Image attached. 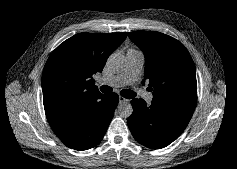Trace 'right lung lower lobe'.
<instances>
[{
	"label": "right lung lower lobe",
	"instance_id": "1",
	"mask_svg": "<svg viewBox=\"0 0 237 169\" xmlns=\"http://www.w3.org/2000/svg\"><path fill=\"white\" fill-rule=\"evenodd\" d=\"M118 101L116 93L94 91L48 121L65 145L76 150L90 149L102 140Z\"/></svg>",
	"mask_w": 237,
	"mask_h": 169
}]
</instances>
